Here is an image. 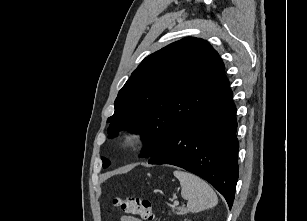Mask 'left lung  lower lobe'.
<instances>
[{
	"mask_svg": "<svg viewBox=\"0 0 307 221\" xmlns=\"http://www.w3.org/2000/svg\"><path fill=\"white\" fill-rule=\"evenodd\" d=\"M228 88L186 122L149 160L171 164L208 181L233 205L238 180L236 107Z\"/></svg>",
	"mask_w": 307,
	"mask_h": 221,
	"instance_id": "left-lung-lower-lobe-1",
	"label": "left lung lower lobe"
}]
</instances>
